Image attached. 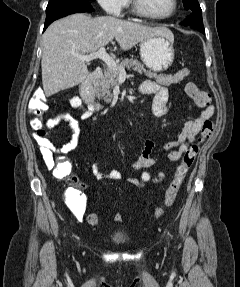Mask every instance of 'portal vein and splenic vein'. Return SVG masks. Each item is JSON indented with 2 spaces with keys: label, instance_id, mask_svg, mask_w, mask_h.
<instances>
[{
  "label": "portal vein and splenic vein",
  "instance_id": "obj_1",
  "mask_svg": "<svg viewBox=\"0 0 240 287\" xmlns=\"http://www.w3.org/2000/svg\"><path fill=\"white\" fill-rule=\"evenodd\" d=\"M76 57L85 62H89L93 59H101L108 65V67H111L114 70H118L119 76H126L125 69L118 67V64L115 62V60L106 52L105 47H100L98 51L89 53L87 55H76Z\"/></svg>",
  "mask_w": 240,
  "mask_h": 287
}]
</instances>
